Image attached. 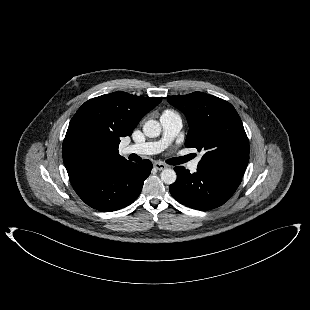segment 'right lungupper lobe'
Listing matches in <instances>:
<instances>
[{
  "label": "right lung upper lobe",
  "instance_id": "right-lung-upper-lobe-1",
  "mask_svg": "<svg viewBox=\"0 0 310 310\" xmlns=\"http://www.w3.org/2000/svg\"><path fill=\"white\" fill-rule=\"evenodd\" d=\"M161 100L113 92L86 101L71 119L63 141L68 175L126 161L118 152L120 139L131 136L141 118Z\"/></svg>",
  "mask_w": 310,
  "mask_h": 310
}]
</instances>
